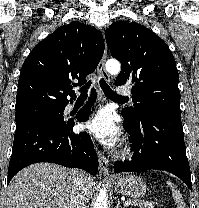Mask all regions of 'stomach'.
Returning a JSON list of instances; mask_svg holds the SVG:
<instances>
[{"instance_id":"0dacf381","label":"stomach","mask_w":199,"mask_h":208,"mask_svg":"<svg viewBox=\"0 0 199 208\" xmlns=\"http://www.w3.org/2000/svg\"><path fill=\"white\" fill-rule=\"evenodd\" d=\"M114 187L122 195L135 199L143 197L148 190L144 180L137 175H128L119 178L114 182Z\"/></svg>"}]
</instances>
